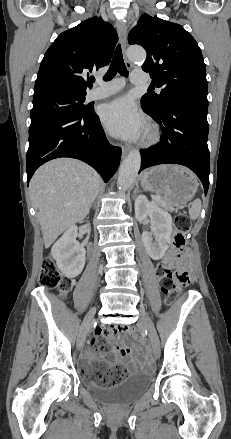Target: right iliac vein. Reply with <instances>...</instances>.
I'll list each match as a JSON object with an SVG mask.
<instances>
[{
	"label": "right iliac vein",
	"mask_w": 231,
	"mask_h": 439,
	"mask_svg": "<svg viewBox=\"0 0 231 439\" xmlns=\"http://www.w3.org/2000/svg\"><path fill=\"white\" fill-rule=\"evenodd\" d=\"M92 322H93V318H92V316H89L88 318L85 319V321L81 325V328H80V331L78 334V338H77V347L79 350H81L84 346L85 339H86V336L90 330Z\"/></svg>",
	"instance_id": "1"
}]
</instances>
